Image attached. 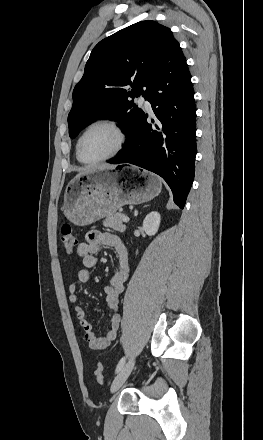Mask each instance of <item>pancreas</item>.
<instances>
[{
  "mask_svg": "<svg viewBox=\"0 0 263 440\" xmlns=\"http://www.w3.org/2000/svg\"><path fill=\"white\" fill-rule=\"evenodd\" d=\"M125 215L121 212H117L111 216H108L103 221L105 227H110L115 231L124 232L126 229L125 224H123V217Z\"/></svg>",
  "mask_w": 263,
  "mask_h": 440,
  "instance_id": "1",
  "label": "pancreas"
}]
</instances>
